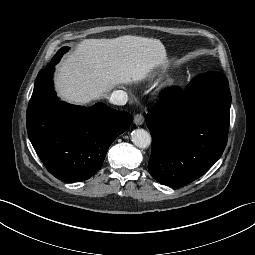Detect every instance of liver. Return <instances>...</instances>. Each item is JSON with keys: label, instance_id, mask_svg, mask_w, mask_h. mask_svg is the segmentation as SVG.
I'll list each match as a JSON object with an SVG mask.
<instances>
[{"label": "liver", "instance_id": "6515ba94", "mask_svg": "<svg viewBox=\"0 0 255 255\" xmlns=\"http://www.w3.org/2000/svg\"><path fill=\"white\" fill-rule=\"evenodd\" d=\"M168 63L158 39L125 35L85 39L58 67L56 88L67 101L86 105L120 85L138 83Z\"/></svg>", "mask_w": 255, "mask_h": 255}]
</instances>
